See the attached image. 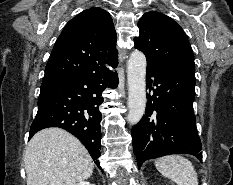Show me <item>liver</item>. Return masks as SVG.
Returning a JSON list of instances; mask_svg holds the SVG:
<instances>
[{
	"label": "liver",
	"mask_w": 233,
	"mask_h": 185,
	"mask_svg": "<svg viewBox=\"0 0 233 185\" xmlns=\"http://www.w3.org/2000/svg\"><path fill=\"white\" fill-rule=\"evenodd\" d=\"M27 185H77L93 173L94 162L82 143L60 128L37 132L24 152Z\"/></svg>",
	"instance_id": "liver-1"
}]
</instances>
